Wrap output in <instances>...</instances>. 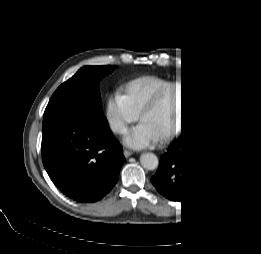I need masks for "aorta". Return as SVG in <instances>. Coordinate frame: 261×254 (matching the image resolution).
Listing matches in <instances>:
<instances>
[{"label":"aorta","mask_w":261,"mask_h":254,"mask_svg":"<svg viewBox=\"0 0 261 254\" xmlns=\"http://www.w3.org/2000/svg\"><path fill=\"white\" fill-rule=\"evenodd\" d=\"M140 163L144 168L153 170L158 166V159L153 153L147 152L141 154Z\"/></svg>","instance_id":"obj_1"}]
</instances>
